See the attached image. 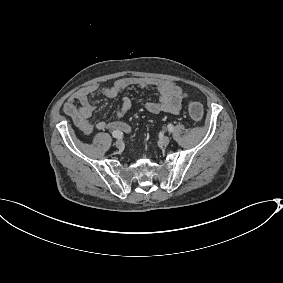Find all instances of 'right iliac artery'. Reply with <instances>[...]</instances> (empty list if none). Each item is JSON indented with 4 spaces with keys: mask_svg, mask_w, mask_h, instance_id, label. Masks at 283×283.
I'll return each mask as SVG.
<instances>
[{
    "mask_svg": "<svg viewBox=\"0 0 283 283\" xmlns=\"http://www.w3.org/2000/svg\"><path fill=\"white\" fill-rule=\"evenodd\" d=\"M112 136H113L114 138H121V137H122V132H120V131H118V130L113 131Z\"/></svg>",
    "mask_w": 283,
    "mask_h": 283,
    "instance_id": "1",
    "label": "right iliac artery"
}]
</instances>
